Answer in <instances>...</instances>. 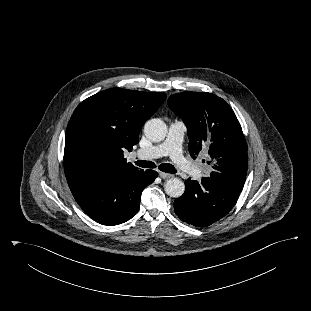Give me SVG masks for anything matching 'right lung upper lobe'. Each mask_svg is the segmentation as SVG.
<instances>
[{
  "instance_id": "cb5924a9",
  "label": "right lung upper lobe",
  "mask_w": 311,
  "mask_h": 311,
  "mask_svg": "<svg viewBox=\"0 0 311 311\" xmlns=\"http://www.w3.org/2000/svg\"><path fill=\"white\" fill-rule=\"evenodd\" d=\"M166 99L161 92L120 88L99 92L75 109L66 130L64 167L66 179L98 169L129 173L139 170L126 162L139 133Z\"/></svg>"
}]
</instances>
